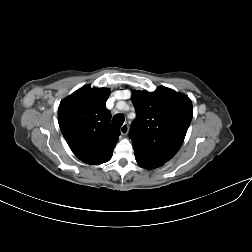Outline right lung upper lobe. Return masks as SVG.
I'll list each match as a JSON object with an SVG mask.
<instances>
[{
    "instance_id": "cb5924a9",
    "label": "right lung upper lobe",
    "mask_w": 252,
    "mask_h": 252,
    "mask_svg": "<svg viewBox=\"0 0 252 252\" xmlns=\"http://www.w3.org/2000/svg\"><path fill=\"white\" fill-rule=\"evenodd\" d=\"M107 88L84 86L64 99L58 108V123L72 152L83 162L100 165L109 161L120 131L110 124L105 103Z\"/></svg>"
}]
</instances>
